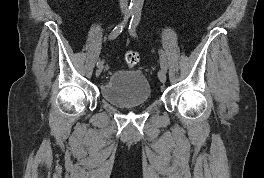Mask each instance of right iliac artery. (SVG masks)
Segmentation results:
<instances>
[{
  "instance_id": "1",
  "label": "right iliac artery",
  "mask_w": 264,
  "mask_h": 178,
  "mask_svg": "<svg viewBox=\"0 0 264 178\" xmlns=\"http://www.w3.org/2000/svg\"><path fill=\"white\" fill-rule=\"evenodd\" d=\"M132 14H133V11H128V12H127V14H126L124 20H123L120 24H118V25L112 30V32L110 33V35H109V40H113V39H115L118 35H120V33L123 31L124 27L126 26L128 19L132 16ZM103 63H104L103 60H99V61L97 62V66H98V67H99V66H103Z\"/></svg>"
}]
</instances>
